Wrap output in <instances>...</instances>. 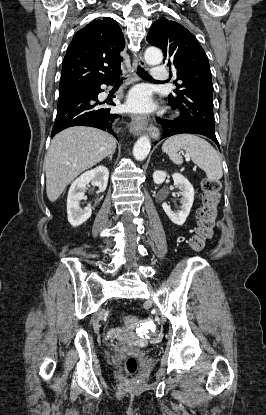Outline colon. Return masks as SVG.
I'll return each mask as SVG.
<instances>
[{
	"instance_id": "1",
	"label": "colon",
	"mask_w": 266,
	"mask_h": 415,
	"mask_svg": "<svg viewBox=\"0 0 266 415\" xmlns=\"http://www.w3.org/2000/svg\"><path fill=\"white\" fill-rule=\"evenodd\" d=\"M219 201L220 183L215 180L204 179L202 181V205L197 211V229L196 233L189 240L193 251H201L212 238ZM124 322L132 327L140 325L139 318L133 315L125 316ZM124 365L129 374L136 373L138 369V361L133 356H128L125 359Z\"/></svg>"
}]
</instances>
